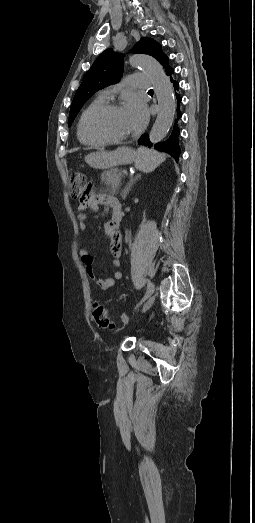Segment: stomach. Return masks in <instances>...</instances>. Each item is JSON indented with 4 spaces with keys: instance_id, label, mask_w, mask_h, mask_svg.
Returning a JSON list of instances; mask_svg holds the SVG:
<instances>
[{
    "instance_id": "1",
    "label": "stomach",
    "mask_w": 255,
    "mask_h": 523,
    "mask_svg": "<svg viewBox=\"0 0 255 523\" xmlns=\"http://www.w3.org/2000/svg\"><path fill=\"white\" fill-rule=\"evenodd\" d=\"M138 156V152H135L132 148L121 146L115 152L91 151L88 155L87 164L90 167H97V170H109V168H115V166L132 164Z\"/></svg>"
}]
</instances>
